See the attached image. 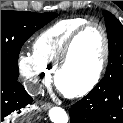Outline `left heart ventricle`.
<instances>
[{"mask_svg":"<svg viewBox=\"0 0 123 123\" xmlns=\"http://www.w3.org/2000/svg\"><path fill=\"white\" fill-rule=\"evenodd\" d=\"M103 52V40L97 27L87 29L75 42L70 60L60 74V86L75 90L88 83L97 71Z\"/></svg>","mask_w":123,"mask_h":123,"instance_id":"obj_1","label":"left heart ventricle"}]
</instances>
